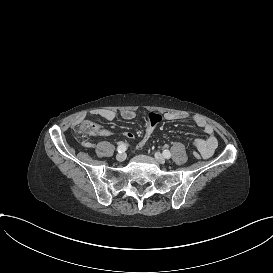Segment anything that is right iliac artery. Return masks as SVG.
I'll return each mask as SVG.
<instances>
[{"label": "right iliac artery", "mask_w": 273, "mask_h": 273, "mask_svg": "<svg viewBox=\"0 0 273 273\" xmlns=\"http://www.w3.org/2000/svg\"><path fill=\"white\" fill-rule=\"evenodd\" d=\"M126 149H127L126 144L120 143L119 146H118V148H117V151H118L119 153H123V152L126 151Z\"/></svg>", "instance_id": "82829eb1"}]
</instances>
